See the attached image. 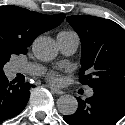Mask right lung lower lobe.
<instances>
[{
	"label": "right lung lower lobe",
	"instance_id": "98d812e1",
	"mask_svg": "<svg viewBox=\"0 0 125 125\" xmlns=\"http://www.w3.org/2000/svg\"><path fill=\"white\" fill-rule=\"evenodd\" d=\"M34 85L9 82L0 75V122L18 115L26 106Z\"/></svg>",
	"mask_w": 125,
	"mask_h": 125
}]
</instances>
